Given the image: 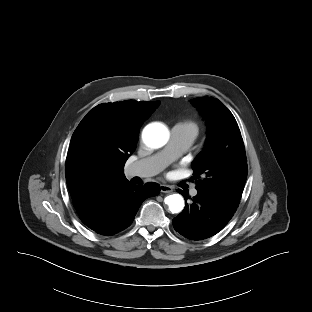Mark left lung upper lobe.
<instances>
[{"mask_svg": "<svg viewBox=\"0 0 312 312\" xmlns=\"http://www.w3.org/2000/svg\"><path fill=\"white\" fill-rule=\"evenodd\" d=\"M208 124L205 149L192 163L198 192L217 196L237 208L247 178L245 148L232 113L218 99L192 100Z\"/></svg>", "mask_w": 312, "mask_h": 312, "instance_id": "1", "label": "left lung upper lobe"}]
</instances>
